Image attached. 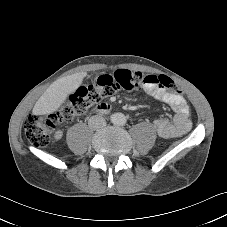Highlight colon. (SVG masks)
<instances>
[{"instance_id":"colon-1","label":"colon","mask_w":227,"mask_h":227,"mask_svg":"<svg viewBox=\"0 0 227 227\" xmlns=\"http://www.w3.org/2000/svg\"><path fill=\"white\" fill-rule=\"evenodd\" d=\"M147 84H157L173 93L178 91L175 83L166 76L144 75L126 69L103 74L93 84L78 88L57 111L44 116L29 115L24 123L26 136L33 145L46 146L59 124L84 114L91 106L119 91L139 90Z\"/></svg>"}]
</instances>
